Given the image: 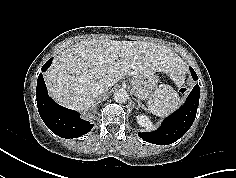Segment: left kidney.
<instances>
[{
  "instance_id": "5707ae66",
  "label": "left kidney",
  "mask_w": 236,
  "mask_h": 178,
  "mask_svg": "<svg viewBox=\"0 0 236 178\" xmlns=\"http://www.w3.org/2000/svg\"><path fill=\"white\" fill-rule=\"evenodd\" d=\"M136 118L138 124L146 130H151L153 128L151 121L145 115H138Z\"/></svg>"
}]
</instances>
